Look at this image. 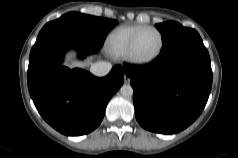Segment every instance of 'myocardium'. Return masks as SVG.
<instances>
[{
  "label": "myocardium",
  "mask_w": 238,
  "mask_h": 158,
  "mask_svg": "<svg viewBox=\"0 0 238 158\" xmlns=\"http://www.w3.org/2000/svg\"><path fill=\"white\" fill-rule=\"evenodd\" d=\"M146 30H153L158 34L159 46H158L157 51L152 56L147 57V58H140V57L136 56V54H135V47H136V43H137L140 35ZM163 47H164V38H163L162 32L154 26H144L139 31H137L134 34V36L132 37L125 57L130 63L136 64V65H146V64L152 63L160 56V54L163 50Z\"/></svg>",
  "instance_id": "obj_1"
}]
</instances>
